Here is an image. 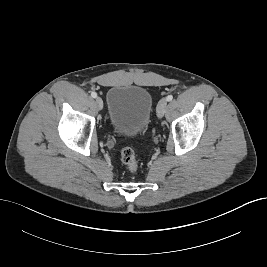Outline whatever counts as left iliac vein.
Segmentation results:
<instances>
[{"label": "left iliac vein", "mask_w": 267, "mask_h": 267, "mask_svg": "<svg viewBox=\"0 0 267 267\" xmlns=\"http://www.w3.org/2000/svg\"><path fill=\"white\" fill-rule=\"evenodd\" d=\"M166 107H167V100L161 99L157 105V110H156L157 116L159 118H162L164 116Z\"/></svg>", "instance_id": "1"}]
</instances>
